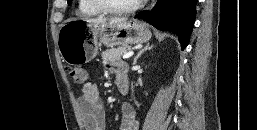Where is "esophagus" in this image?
<instances>
[{
  "instance_id": "34e87169",
  "label": "esophagus",
  "mask_w": 257,
  "mask_h": 130,
  "mask_svg": "<svg viewBox=\"0 0 257 130\" xmlns=\"http://www.w3.org/2000/svg\"><path fill=\"white\" fill-rule=\"evenodd\" d=\"M157 0H152L151 7H153L156 4Z\"/></svg>"
}]
</instances>
